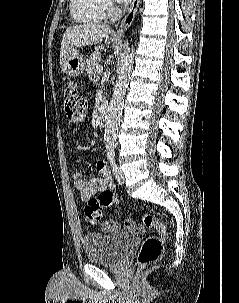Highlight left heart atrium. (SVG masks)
<instances>
[{
    "label": "left heart atrium",
    "mask_w": 239,
    "mask_h": 303,
    "mask_svg": "<svg viewBox=\"0 0 239 303\" xmlns=\"http://www.w3.org/2000/svg\"><path fill=\"white\" fill-rule=\"evenodd\" d=\"M117 2L120 4H127L130 2V0H117Z\"/></svg>",
    "instance_id": "left-heart-atrium-1"
}]
</instances>
